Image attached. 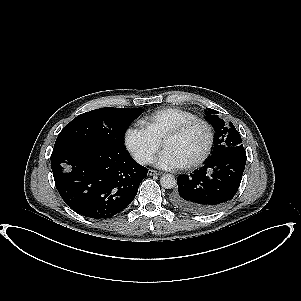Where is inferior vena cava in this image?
I'll return each instance as SVG.
<instances>
[{
    "label": "inferior vena cava",
    "instance_id": "1",
    "mask_svg": "<svg viewBox=\"0 0 301 301\" xmlns=\"http://www.w3.org/2000/svg\"><path fill=\"white\" fill-rule=\"evenodd\" d=\"M150 160H151V158H150L149 156L143 155V154L138 155V156L136 157V161H137L138 163H140V164H147V163L150 162Z\"/></svg>",
    "mask_w": 301,
    "mask_h": 301
}]
</instances>
